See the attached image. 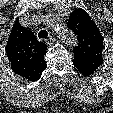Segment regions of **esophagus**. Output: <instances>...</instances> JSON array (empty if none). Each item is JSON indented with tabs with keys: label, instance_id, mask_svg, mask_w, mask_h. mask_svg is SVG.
I'll list each match as a JSON object with an SVG mask.
<instances>
[{
	"label": "esophagus",
	"instance_id": "1",
	"mask_svg": "<svg viewBox=\"0 0 113 113\" xmlns=\"http://www.w3.org/2000/svg\"><path fill=\"white\" fill-rule=\"evenodd\" d=\"M45 42L46 44L51 45L55 43V38L53 36H50Z\"/></svg>",
	"mask_w": 113,
	"mask_h": 113
}]
</instances>
